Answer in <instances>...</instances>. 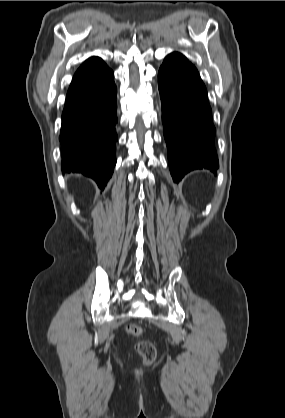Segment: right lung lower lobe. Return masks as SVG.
Wrapping results in <instances>:
<instances>
[{
    "mask_svg": "<svg viewBox=\"0 0 285 418\" xmlns=\"http://www.w3.org/2000/svg\"><path fill=\"white\" fill-rule=\"evenodd\" d=\"M117 88L108 69L67 93L59 140L62 171L91 177L104 189L116 164Z\"/></svg>",
    "mask_w": 285,
    "mask_h": 418,
    "instance_id": "98d812e1",
    "label": "right lung lower lobe"
}]
</instances>
